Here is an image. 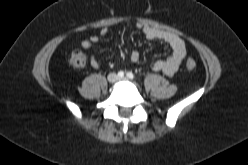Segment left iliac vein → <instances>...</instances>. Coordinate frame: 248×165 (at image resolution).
<instances>
[{
    "label": "left iliac vein",
    "instance_id": "left-iliac-vein-1",
    "mask_svg": "<svg viewBox=\"0 0 248 165\" xmlns=\"http://www.w3.org/2000/svg\"><path fill=\"white\" fill-rule=\"evenodd\" d=\"M120 81H127L126 77L119 78Z\"/></svg>",
    "mask_w": 248,
    "mask_h": 165
}]
</instances>
